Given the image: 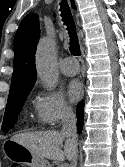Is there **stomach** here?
<instances>
[{
  "instance_id": "1",
  "label": "stomach",
  "mask_w": 125,
  "mask_h": 167,
  "mask_svg": "<svg viewBox=\"0 0 125 167\" xmlns=\"http://www.w3.org/2000/svg\"><path fill=\"white\" fill-rule=\"evenodd\" d=\"M3 149L7 158L17 164L23 163L29 167H50L45 158L34 154L28 148L13 140L6 141Z\"/></svg>"
}]
</instances>
